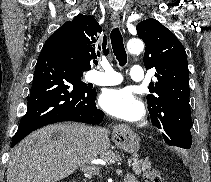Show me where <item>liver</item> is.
Returning <instances> with one entry per match:
<instances>
[{"mask_svg": "<svg viewBox=\"0 0 211 182\" xmlns=\"http://www.w3.org/2000/svg\"><path fill=\"white\" fill-rule=\"evenodd\" d=\"M54 133L58 134L55 139ZM109 148L108 131L104 128L78 123L46 126L12 150L7 182H57Z\"/></svg>", "mask_w": 211, "mask_h": 182, "instance_id": "liver-1", "label": "liver"}]
</instances>
